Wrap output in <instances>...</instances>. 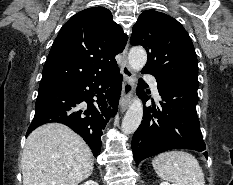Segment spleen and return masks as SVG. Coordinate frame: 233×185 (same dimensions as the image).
Masks as SVG:
<instances>
[{
    "label": "spleen",
    "mask_w": 233,
    "mask_h": 185,
    "mask_svg": "<svg viewBox=\"0 0 233 185\" xmlns=\"http://www.w3.org/2000/svg\"><path fill=\"white\" fill-rule=\"evenodd\" d=\"M158 176L173 185H205L204 173L197 159L184 151L164 152L152 160Z\"/></svg>",
    "instance_id": "3e777b00"
}]
</instances>
